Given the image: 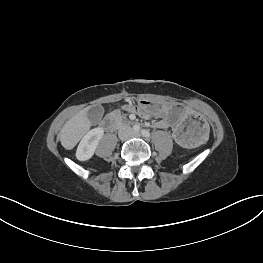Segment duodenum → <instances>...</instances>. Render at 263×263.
<instances>
[{
    "label": "duodenum",
    "mask_w": 263,
    "mask_h": 263,
    "mask_svg": "<svg viewBox=\"0 0 263 263\" xmlns=\"http://www.w3.org/2000/svg\"><path fill=\"white\" fill-rule=\"evenodd\" d=\"M125 122L120 121L116 116H108L105 120H104V125L106 128L112 130L115 129L119 126L125 125Z\"/></svg>",
    "instance_id": "410a0bca"
}]
</instances>
